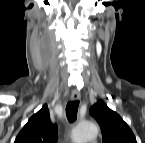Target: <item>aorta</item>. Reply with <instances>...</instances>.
I'll return each instance as SVG.
<instances>
[{"mask_svg":"<svg viewBox=\"0 0 145 143\" xmlns=\"http://www.w3.org/2000/svg\"><path fill=\"white\" fill-rule=\"evenodd\" d=\"M98 134V127L93 122L80 123L72 132V139L75 143H86L93 140Z\"/></svg>","mask_w":145,"mask_h":143,"instance_id":"obj_1","label":"aorta"}]
</instances>
